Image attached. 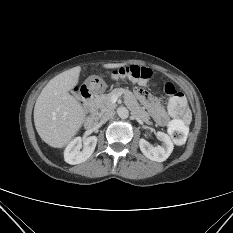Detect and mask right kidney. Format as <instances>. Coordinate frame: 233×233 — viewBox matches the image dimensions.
I'll return each instance as SVG.
<instances>
[{"mask_svg":"<svg viewBox=\"0 0 233 233\" xmlns=\"http://www.w3.org/2000/svg\"><path fill=\"white\" fill-rule=\"evenodd\" d=\"M97 140L96 136H90L86 139H82L81 137L74 138L65 148L64 160L71 165L85 162L94 152ZM82 144L84 147L80 151Z\"/></svg>","mask_w":233,"mask_h":233,"instance_id":"1","label":"right kidney"}]
</instances>
